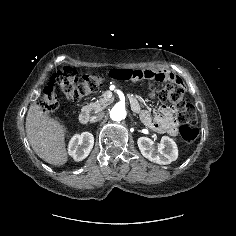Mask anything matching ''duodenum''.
Segmentation results:
<instances>
[{
  "label": "duodenum",
  "mask_w": 236,
  "mask_h": 236,
  "mask_svg": "<svg viewBox=\"0 0 236 236\" xmlns=\"http://www.w3.org/2000/svg\"><path fill=\"white\" fill-rule=\"evenodd\" d=\"M130 103H131V106L132 108L135 110V111H139L140 110V106H139V103L138 101L133 98V97H130ZM90 120V114L88 112L87 109H83L80 114H79V122L83 125L87 124Z\"/></svg>",
  "instance_id": "obj_1"
}]
</instances>
